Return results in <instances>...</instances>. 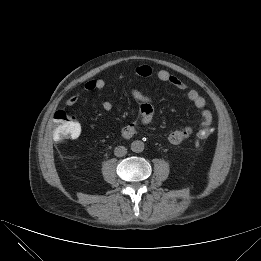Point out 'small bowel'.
I'll use <instances>...</instances> for the list:
<instances>
[{"instance_id":"small-bowel-1","label":"small bowel","mask_w":261,"mask_h":261,"mask_svg":"<svg viewBox=\"0 0 261 261\" xmlns=\"http://www.w3.org/2000/svg\"><path fill=\"white\" fill-rule=\"evenodd\" d=\"M137 75L141 77H149L152 74V69L148 65H140L135 69ZM157 78L162 81L169 83L179 90H186V83L178 78L177 76L171 74L166 70H160L157 72ZM106 85V82L102 78H95L88 80L84 88L87 91L92 90H102ZM131 96L139 103V118L142 124L147 125L151 123L154 115V107L152 99L142 93L140 90L133 88L131 90ZM187 99L199 110H201V121L200 128L203 126L211 125L212 114L209 110L205 109L206 100L200 93L195 89H190L187 91ZM78 102L77 96H72L66 101L68 107L76 105ZM112 103L110 101H105L102 103V108L104 111L109 112L112 110ZM80 126V125H79ZM136 133V124L130 123L124 126L121 130V134L124 138H132ZM193 133V127L191 125L185 126L182 129L174 130L168 135V141L177 145L188 139Z\"/></svg>"}]
</instances>
